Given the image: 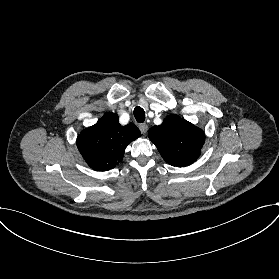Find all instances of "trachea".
I'll return each instance as SVG.
<instances>
[{
	"label": "trachea",
	"mask_w": 279,
	"mask_h": 279,
	"mask_svg": "<svg viewBox=\"0 0 279 279\" xmlns=\"http://www.w3.org/2000/svg\"><path fill=\"white\" fill-rule=\"evenodd\" d=\"M134 116L139 123H142L145 120V112L141 107H135Z\"/></svg>",
	"instance_id": "trachea-1"
}]
</instances>
